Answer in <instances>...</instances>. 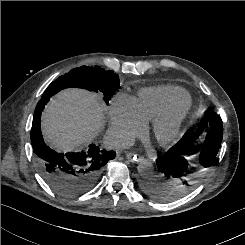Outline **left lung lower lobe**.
<instances>
[{
	"instance_id": "left-lung-lower-lobe-1",
	"label": "left lung lower lobe",
	"mask_w": 245,
	"mask_h": 245,
	"mask_svg": "<svg viewBox=\"0 0 245 245\" xmlns=\"http://www.w3.org/2000/svg\"><path fill=\"white\" fill-rule=\"evenodd\" d=\"M222 126L220 116L215 111L207 110L197 129L187 131L163 156L157 158L158 178L166 183H148L144 186L145 191L163 200L193 186L195 175L187 158L193 153L199 154L196 160L198 170L215 164L222 142Z\"/></svg>"
}]
</instances>
